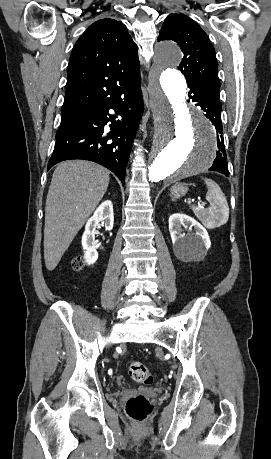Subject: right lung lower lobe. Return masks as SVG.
<instances>
[{
    "instance_id": "98d812e1",
    "label": "right lung lower lobe",
    "mask_w": 271,
    "mask_h": 459,
    "mask_svg": "<svg viewBox=\"0 0 271 459\" xmlns=\"http://www.w3.org/2000/svg\"><path fill=\"white\" fill-rule=\"evenodd\" d=\"M110 109L117 115L109 114ZM142 112L140 78H137L93 100L88 107L62 115L48 170L64 160H89L111 170L124 184ZM108 122H111L110 131L104 129Z\"/></svg>"
}]
</instances>
